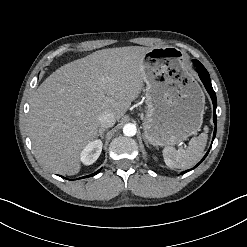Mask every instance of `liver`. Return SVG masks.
Listing matches in <instances>:
<instances>
[{
	"instance_id": "1",
	"label": "liver",
	"mask_w": 247,
	"mask_h": 247,
	"mask_svg": "<svg viewBox=\"0 0 247 247\" xmlns=\"http://www.w3.org/2000/svg\"><path fill=\"white\" fill-rule=\"evenodd\" d=\"M150 48L102 49L61 66L38 87L29 130L39 162L54 173L75 175L80 154L98 136L99 116L119 120L144 86L143 59Z\"/></svg>"
}]
</instances>
